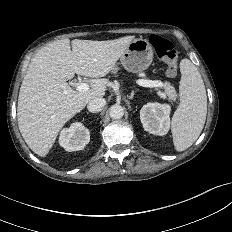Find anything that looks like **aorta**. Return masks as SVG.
<instances>
[{"instance_id":"obj_1","label":"aorta","mask_w":232,"mask_h":232,"mask_svg":"<svg viewBox=\"0 0 232 232\" xmlns=\"http://www.w3.org/2000/svg\"><path fill=\"white\" fill-rule=\"evenodd\" d=\"M109 115L112 119H120L124 115V108L119 104L110 107Z\"/></svg>"}]
</instances>
